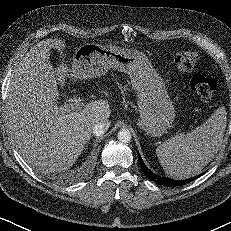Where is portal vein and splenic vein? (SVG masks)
<instances>
[{
  "instance_id": "1",
  "label": "portal vein and splenic vein",
  "mask_w": 231,
  "mask_h": 231,
  "mask_svg": "<svg viewBox=\"0 0 231 231\" xmlns=\"http://www.w3.org/2000/svg\"><path fill=\"white\" fill-rule=\"evenodd\" d=\"M67 110H81L84 107V103L82 100L76 99L74 103L64 106Z\"/></svg>"
}]
</instances>
